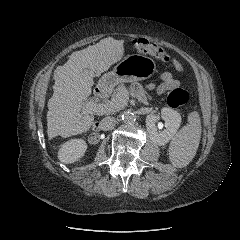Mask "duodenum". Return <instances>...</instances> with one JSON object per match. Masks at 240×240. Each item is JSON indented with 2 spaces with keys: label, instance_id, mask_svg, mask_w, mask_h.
Segmentation results:
<instances>
[{
  "label": "duodenum",
  "instance_id": "1",
  "mask_svg": "<svg viewBox=\"0 0 240 240\" xmlns=\"http://www.w3.org/2000/svg\"><path fill=\"white\" fill-rule=\"evenodd\" d=\"M109 93V87L106 85H100L95 89V95L97 98L104 99Z\"/></svg>",
  "mask_w": 240,
  "mask_h": 240
}]
</instances>
